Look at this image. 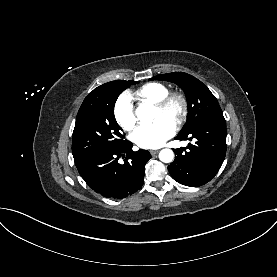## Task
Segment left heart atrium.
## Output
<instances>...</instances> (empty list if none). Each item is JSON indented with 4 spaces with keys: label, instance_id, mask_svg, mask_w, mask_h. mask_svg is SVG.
Listing matches in <instances>:
<instances>
[{
    "label": "left heart atrium",
    "instance_id": "left-heart-atrium-1",
    "mask_svg": "<svg viewBox=\"0 0 277 277\" xmlns=\"http://www.w3.org/2000/svg\"><path fill=\"white\" fill-rule=\"evenodd\" d=\"M176 132L175 123L159 118L150 125L139 126L132 134V140L141 148L154 149L162 146Z\"/></svg>",
    "mask_w": 277,
    "mask_h": 277
}]
</instances>
